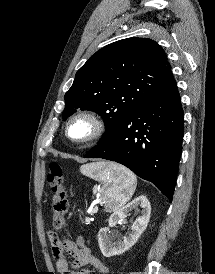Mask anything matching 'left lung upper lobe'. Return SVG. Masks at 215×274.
I'll return each mask as SVG.
<instances>
[{"mask_svg": "<svg viewBox=\"0 0 215 274\" xmlns=\"http://www.w3.org/2000/svg\"><path fill=\"white\" fill-rule=\"evenodd\" d=\"M174 79L167 55L147 38L111 43L78 70L66 92L63 120L77 109L91 110L104 120L108 137L136 107Z\"/></svg>", "mask_w": 215, "mask_h": 274, "instance_id": "obj_1", "label": "left lung upper lobe"}]
</instances>
